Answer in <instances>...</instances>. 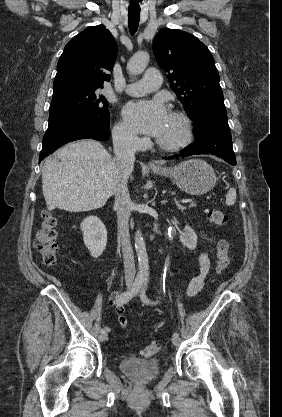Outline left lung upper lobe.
I'll return each mask as SVG.
<instances>
[{
  "mask_svg": "<svg viewBox=\"0 0 282 417\" xmlns=\"http://www.w3.org/2000/svg\"><path fill=\"white\" fill-rule=\"evenodd\" d=\"M153 52L158 65L169 72L170 87L193 123L204 111L225 108L213 56L195 36L162 29L154 39Z\"/></svg>",
  "mask_w": 282,
  "mask_h": 417,
  "instance_id": "left-lung-upper-lobe-1",
  "label": "left lung upper lobe"
}]
</instances>
